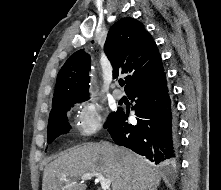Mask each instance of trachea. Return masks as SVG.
Listing matches in <instances>:
<instances>
[{"label": "trachea", "mask_w": 221, "mask_h": 190, "mask_svg": "<svg viewBox=\"0 0 221 190\" xmlns=\"http://www.w3.org/2000/svg\"><path fill=\"white\" fill-rule=\"evenodd\" d=\"M119 84H120V86H124V85H125V82H124L123 80H120V81H119Z\"/></svg>", "instance_id": "trachea-1"}]
</instances>
